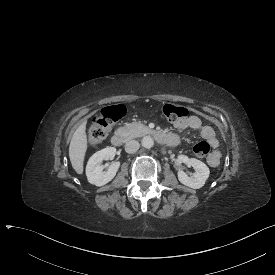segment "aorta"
I'll list each match as a JSON object with an SVG mask.
<instances>
[{"label":"aorta","mask_w":275,"mask_h":275,"mask_svg":"<svg viewBox=\"0 0 275 275\" xmlns=\"http://www.w3.org/2000/svg\"><path fill=\"white\" fill-rule=\"evenodd\" d=\"M153 145H154V141H153V139L150 136L143 137V139H142V146L144 148L149 149V148L153 147Z\"/></svg>","instance_id":"762f6f07"}]
</instances>
